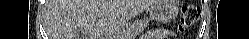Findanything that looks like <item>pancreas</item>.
Listing matches in <instances>:
<instances>
[{"label":"pancreas","mask_w":249,"mask_h":39,"mask_svg":"<svg viewBox=\"0 0 249 39\" xmlns=\"http://www.w3.org/2000/svg\"><path fill=\"white\" fill-rule=\"evenodd\" d=\"M149 20H136L133 24H130L123 33L125 39H130L137 36L143 32V30L148 26Z\"/></svg>","instance_id":"obj_1"}]
</instances>
